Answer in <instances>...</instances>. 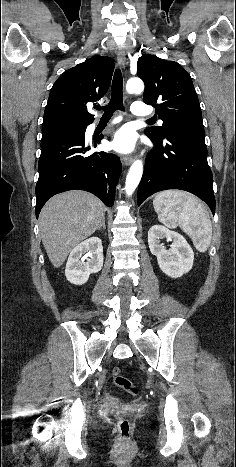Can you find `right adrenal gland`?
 <instances>
[{
	"mask_svg": "<svg viewBox=\"0 0 236 467\" xmlns=\"http://www.w3.org/2000/svg\"><path fill=\"white\" fill-rule=\"evenodd\" d=\"M101 228H103L104 230L106 229V225H105V219L103 220L101 226L98 228V230H101Z\"/></svg>",
	"mask_w": 236,
	"mask_h": 467,
	"instance_id": "right-adrenal-gland-1",
	"label": "right adrenal gland"
}]
</instances>
